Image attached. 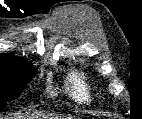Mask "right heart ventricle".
<instances>
[{
	"label": "right heart ventricle",
	"instance_id": "e07e8e85",
	"mask_svg": "<svg viewBox=\"0 0 142 119\" xmlns=\"http://www.w3.org/2000/svg\"><path fill=\"white\" fill-rule=\"evenodd\" d=\"M67 85L69 94L79 103L89 104L92 101L91 87L81 74H69Z\"/></svg>",
	"mask_w": 142,
	"mask_h": 119
}]
</instances>
